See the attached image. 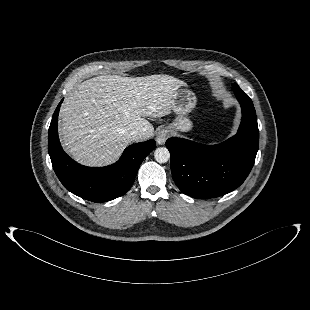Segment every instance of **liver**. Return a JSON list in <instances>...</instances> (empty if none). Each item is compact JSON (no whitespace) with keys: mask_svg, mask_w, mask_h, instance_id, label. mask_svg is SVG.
I'll return each instance as SVG.
<instances>
[{"mask_svg":"<svg viewBox=\"0 0 310 310\" xmlns=\"http://www.w3.org/2000/svg\"><path fill=\"white\" fill-rule=\"evenodd\" d=\"M187 84L173 76L102 75L82 82L60 109L59 134L66 151L79 163H113L139 130L149 139L154 128L145 117L170 114L176 91Z\"/></svg>","mask_w":310,"mask_h":310,"instance_id":"6515ba94","label":"liver"}]
</instances>
